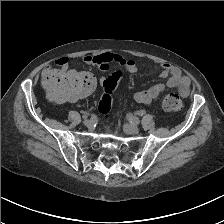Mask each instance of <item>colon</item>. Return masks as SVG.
<instances>
[{"label":"colon","mask_w":224,"mask_h":224,"mask_svg":"<svg viewBox=\"0 0 224 224\" xmlns=\"http://www.w3.org/2000/svg\"><path fill=\"white\" fill-rule=\"evenodd\" d=\"M120 79L121 73L115 71L102 82L103 94L98 105V110L102 115H107L110 112L113 92ZM46 83L54 98L69 101H76L89 96L96 87L95 78L89 73H77L57 78L51 75ZM162 106L167 111L178 112L183 108V101L178 94L169 93L164 97Z\"/></svg>","instance_id":"obj_1"}]
</instances>
